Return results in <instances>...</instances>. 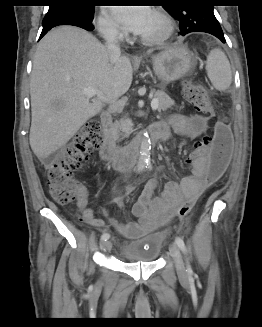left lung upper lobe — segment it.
Instances as JSON below:
<instances>
[{
  "label": "left lung upper lobe",
  "instance_id": "5c2ea615",
  "mask_svg": "<svg viewBox=\"0 0 262 327\" xmlns=\"http://www.w3.org/2000/svg\"><path fill=\"white\" fill-rule=\"evenodd\" d=\"M165 10L179 21L181 35L191 32H206L214 36L223 35L210 4L194 5L189 0H170Z\"/></svg>",
  "mask_w": 262,
  "mask_h": 327
}]
</instances>
